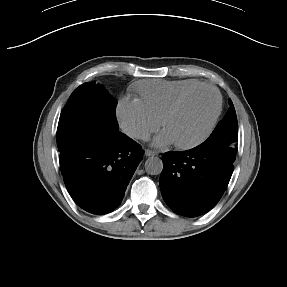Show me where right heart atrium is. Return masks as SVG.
<instances>
[{"label":"right heart atrium","mask_w":287,"mask_h":287,"mask_svg":"<svg viewBox=\"0 0 287 287\" xmlns=\"http://www.w3.org/2000/svg\"><path fill=\"white\" fill-rule=\"evenodd\" d=\"M116 113L123 130L135 139H147L160 127V120L136 98H122L118 102Z\"/></svg>","instance_id":"d8ad5b80"}]
</instances>
